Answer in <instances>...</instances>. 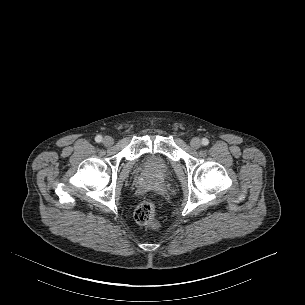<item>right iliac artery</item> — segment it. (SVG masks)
Wrapping results in <instances>:
<instances>
[{
  "label": "right iliac artery",
  "instance_id": "obj_1",
  "mask_svg": "<svg viewBox=\"0 0 305 305\" xmlns=\"http://www.w3.org/2000/svg\"><path fill=\"white\" fill-rule=\"evenodd\" d=\"M95 141L98 142V143L101 142L102 141V136H100V135L96 136Z\"/></svg>",
  "mask_w": 305,
  "mask_h": 305
}]
</instances>
